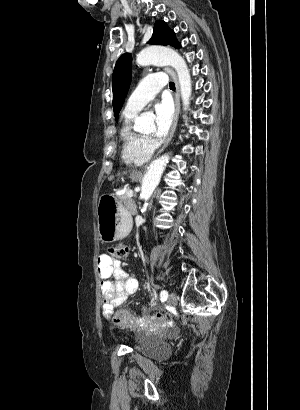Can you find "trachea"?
<instances>
[{"instance_id": "1", "label": "trachea", "mask_w": 300, "mask_h": 410, "mask_svg": "<svg viewBox=\"0 0 300 410\" xmlns=\"http://www.w3.org/2000/svg\"><path fill=\"white\" fill-rule=\"evenodd\" d=\"M169 87L170 89L175 90V84L173 82L169 83Z\"/></svg>"}]
</instances>
